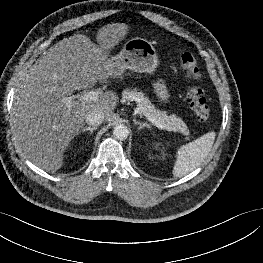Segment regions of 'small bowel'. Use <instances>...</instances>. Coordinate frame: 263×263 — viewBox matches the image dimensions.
<instances>
[{
	"mask_svg": "<svg viewBox=\"0 0 263 263\" xmlns=\"http://www.w3.org/2000/svg\"><path fill=\"white\" fill-rule=\"evenodd\" d=\"M157 93L161 98H166V91L162 83H158L156 86Z\"/></svg>",
	"mask_w": 263,
	"mask_h": 263,
	"instance_id": "1",
	"label": "small bowel"
}]
</instances>
